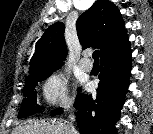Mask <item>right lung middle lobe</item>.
Masks as SVG:
<instances>
[{
    "instance_id": "obj_1",
    "label": "right lung middle lobe",
    "mask_w": 153,
    "mask_h": 134,
    "mask_svg": "<svg viewBox=\"0 0 153 134\" xmlns=\"http://www.w3.org/2000/svg\"><path fill=\"white\" fill-rule=\"evenodd\" d=\"M57 68L44 70L42 72L30 75L26 78V82H25V86L23 90L24 99L21 104L18 118L27 117L43 109L42 106L36 105L37 91L35 87L37 86L38 82H41L45 80L46 78H48L51 75V72Z\"/></svg>"
}]
</instances>
